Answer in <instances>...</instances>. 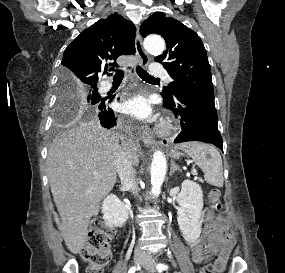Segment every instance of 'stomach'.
<instances>
[{
	"mask_svg": "<svg viewBox=\"0 0 285 273\" xmlns=\"http://www.w3.org/2000/svg\"><path fill=\"white\" fill-rule=\"evenodd\" d=\"M169 154L173 159H178L181 156V153L175 149H171Z\"/></svg>",
	"mask_w": 285,
	"mask_h": 273,
	"instance_id": "1",
	"label": "stomach"
}]
</instances>
